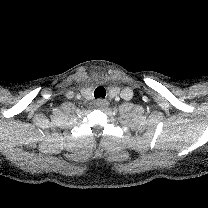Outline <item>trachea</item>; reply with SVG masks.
I'll return each mask as SVG.
<instances>
[{
    "label": "trachea",
    "mask_w": 208,
    "mask_h": 208,
    "mask_svg": "<svg viewBox=\"0 0 208 208\" xmlns=\"http://www.w3.org/2000/svg\"><path fill=\"white\" fill-rule=\"evenodd\" d=\"M95 98H105L106 90L103 85H99L94 91Z\"/></svg>",
    "instance_id": "obj_1"
}]
</instances>
